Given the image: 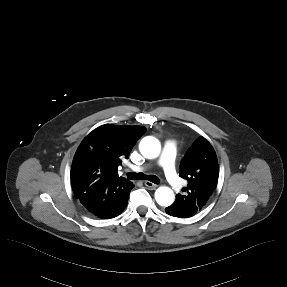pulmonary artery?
Segmentation results:
<instances>
[{
    "instance_id": "e3ab8cb5",
    "label": "pulmonary artery",
    "mask_w": 287,
    "mask_h": 287,
    "mask_svg": "<svg viewBox=\"0 0 287 287\" xmlns=\"http://www.w3.org/2000/svg\"><path fill=\"white\" fill-rule=\"evenodd\" d=\"M176 153V143L167 142L164 150L158 160V164L163 168L167 181L171 184L175 191L181 190V183L175 174L174 157ZM148 168L147 165H132L131 169L134 172H143Z\"/></svg>"
}]
</instances>
